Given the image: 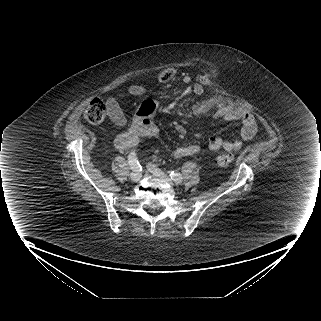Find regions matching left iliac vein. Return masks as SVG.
<instances>
[{
  "instance_id": "obj_1",
  "label": "left iliac vein",
  "mask_w": 321,
  "mask_h": 321,
  "mask_svg": "<svg viewBox=\"0 0 321 321\" xmlns=\"http://www.w3.org/2000/svg\"><path fill=\"white\" fill-rule=\"evenodd\" d=\"M147 167L153 175L161 178L162 180H164L168 184L173 185V181L170 179V177L165 172H163L161 169L157 168V166H155L153 164H148Z\"/></svg>"
}]
</instances>
